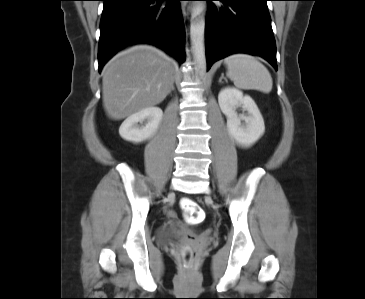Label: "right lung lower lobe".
<instances>
[{
	"label": "right lung lower lobe",
	"instance_id": "1",
	"mask_svg": "<svg viewBox=\"0 0 365 299\" xmlns=\"http://www.w3.org/2000/svg\"><path fill=\"white\" fill-rule=\"evenodd\" d=\"M98 45L99 72L127 45L150 43L183 63L181 0H102Z\"/></svg>",
	"mask_w": 365,
	"mask_h": 299
}]
</instances>
